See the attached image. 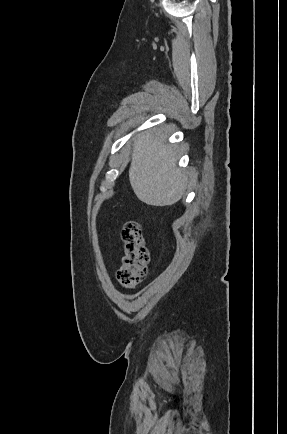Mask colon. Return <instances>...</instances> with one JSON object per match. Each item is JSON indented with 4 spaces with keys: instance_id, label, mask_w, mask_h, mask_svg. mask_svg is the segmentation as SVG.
Here are the masks:
<instances>
[{
    "instance_id": "1",
    "label": "colon",
    "mask_w": 287,
    "mask_h": 434,
    "mask_svg": "<svg viewBox=\"0 0 287 434\" xmlns=\"http://www.w3.org/2000/svg\"><path fill=\"white\" fill-rule=\"evenodd\" d=\"M121 238L123 255L117 277L124 288H133L147 274L150 254L139 222L127 221Z\"/></svg>"
}]
</instances>
